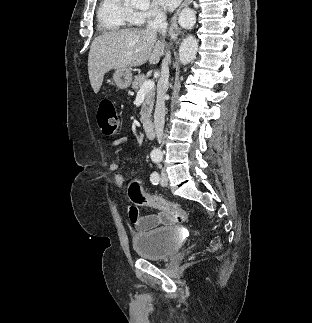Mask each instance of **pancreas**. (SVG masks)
<instances>
[{"label":"pancreas","instance_id":"obj_1","mask_svg":"<svg viewBox=\"0 0 312 323\" xmlns=\"http://www.w3.org/2000/svg\"><path fill=\"white\" fill-rule=\"evenodd\" d=\"M147 80L148 76H144V74H141V76H134V82H132V90H135V92H139L141 86H143L144 82H147ZM154 98L155 90L154 88H151V90H148V92H146L144 104H142L141 106V122H149V118L152 114L154 106Z\"/></svg>","mask_w":312,"mask_h":323}]
</instances>
